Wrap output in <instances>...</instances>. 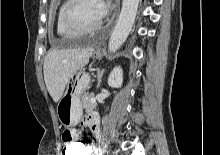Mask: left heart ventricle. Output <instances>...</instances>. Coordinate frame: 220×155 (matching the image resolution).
I'll return each mask as SVG.
<instances>
[{
  "mask_svg": "<svg viewBox=\"0 0 220 155\" xmlns=\"http://www.w3.org/2000/svg\"><path fill=\"white\" fill-rule=\"evenodd\" d=\"M74 17L85 26H93L103 19L96 0H82L74 11Z\"/></svg>",
  "mask_w": 220,
  "mask_h": 155,
  "instance_id": "b2bd125f",
  "label": "left heart ventricle"
}]
</instances>
